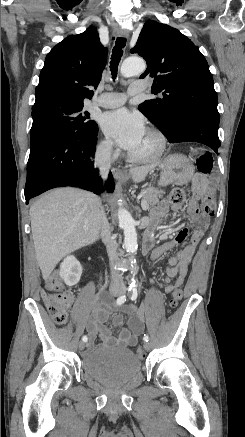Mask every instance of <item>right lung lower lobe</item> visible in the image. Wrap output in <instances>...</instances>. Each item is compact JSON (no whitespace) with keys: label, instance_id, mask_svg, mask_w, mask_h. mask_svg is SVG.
I'll list each match as a JSON object with an SVG mask.
<instances>
[{"label":"right lung lower lobe","instance_id":"right-lung-lower-lobe-1","mask_svg":"<svg viewBox=\"0 0 245 437\" xmlns=\"http://www.w3.org/2000/svg\"><path fill=\"white\" fill-rule=\"evenodd\" d=\"M97 134L98 128L90 136L68 139L48 132L32 142L27 163L26 204L55 187L78 186L100 194L102 180L92 162ZM105 186L113 192L115 183L111 173Z\"/></svg>","mask_w":245,"mask_h":437}]
</instances>
